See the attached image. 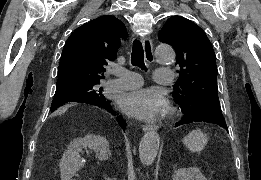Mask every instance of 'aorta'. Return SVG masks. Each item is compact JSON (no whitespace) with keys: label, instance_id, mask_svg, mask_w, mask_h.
I'll return each mask as SVG.
<instances>
[{"label":"aorta","instance_id":"762f6f07","mask_svg":"<svg viewBox=\"0 0 261 180\" xmlns=\"http://www.w3.org/2000/svg\"><path fill=\"white\" fill-rule=\"evenodd\" d=\"M156 59L159 63L170 64L174 61V50L168 46L161 44L155 50ZM160 137L156 131L147 132L141 139L139 145V156L143 165H151L158 153Z\"/></svg>","mask_w":261,"mask_h":180}]
</instances>
